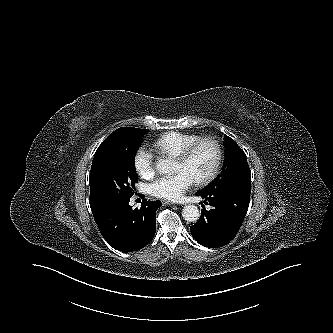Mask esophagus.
<instances>
[{
	"label": "esophagus",
	"instance_id": "34e87169",
	"mask_svg": "<svg viewBox=\"0 0 333 333\" xmlns=\"http://www.w3.org/2000/svg\"><path fill=\"white\" fill-rule=\"evenodd\" d=\"M161 202H162L163 205H173L174 204V203H172L168 200H165V199L161 200Z\"/></svg>",
	"mask_w": 333,
	"mask_h": 333
}]
</instances>
